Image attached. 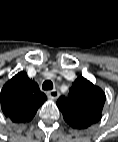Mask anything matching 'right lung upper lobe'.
I'll list each match as a JSON object with an SVG mask.
<instances>
[{
  "label": "right lung upper lobe",
  "mask_w": 118,
  "mask_h": 142,
  "mask_svg": "<svg viewBox=\"0 0 118 142\" xmlns=\"http://www.w3.org/2000/svg\"><path fill=\"white\" fill-rule=\"evenodd\" d=\"M46 100L37 83L23 71L11 78L0 93L2 112L15 123L31 121Z\"/></svg>",
  "instance_id": "1"
}]
</instances>
